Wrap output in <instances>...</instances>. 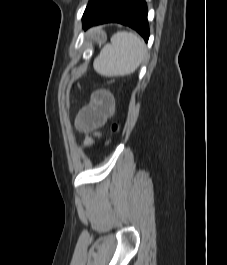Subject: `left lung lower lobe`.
<instances>
[{"label":"left lung lower lobe","instance_id":"left-lung-lower-lobe-1","mask_svg":"<svg viewBox=\"0 0 227 265\" xmlns=\"http://www.w3.org/2000/svg\"><path fill=\"white\" fill-rule=\"evenodd\" d=\"M107 22L130 26L148 41L149 26L144 0H106L90 16L83 19V28Z\"/></svg>","mask_w":227,"mask_h":265}]
</instances>
